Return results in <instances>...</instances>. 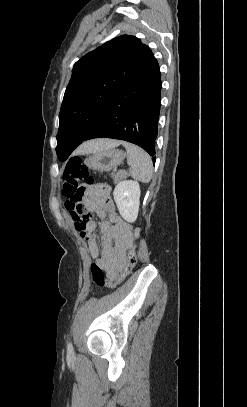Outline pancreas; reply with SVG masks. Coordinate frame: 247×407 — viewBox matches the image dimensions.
I'll return each instance as SVG.
<instances>
[{
  "label": "pancreas",
  "mask_w": 247,
  "mask_h": 407,
  "mask_svg": "<svg viewBox=\"0 0 247 407\" xmlns=\"http://www.w3.org/2000/svg\"><path fill=\"white\" fill-rule=\"evenodd\" d=\"M111 177L113 178L115 183L120 182L122 179L127 177V173L125 171H119L117 173H112Z\"/></svg>",
  "instance_id": "1"
}]
</instances>
